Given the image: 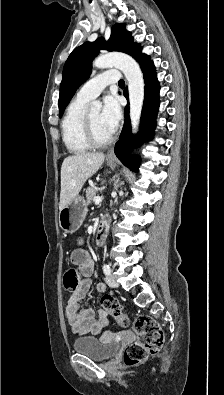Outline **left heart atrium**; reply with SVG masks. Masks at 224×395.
<instances>
[{"label":"left heart atrium","mask_w":224,"mask_h":395,"mask_svg":"<svg viewBox=\"0 0 224 395\" xmlns=\"http://www.w3.org/2000/svg\"><path fill=\"white\" fill-rule=\"evenodd\" d=\"M121 106L116 96L108 95L104 98L103 107L100 113L103 125L113 133L121 119Z\"/></svg>","instance_id":"obj_1"}]
</instances>
